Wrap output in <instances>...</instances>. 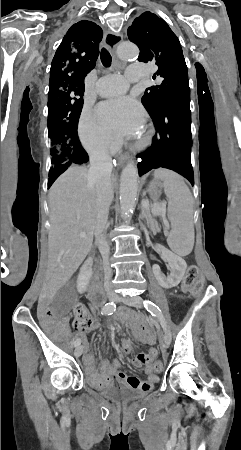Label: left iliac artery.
Here are the masks:
<instances>
[{
    "mask_svg": "<svg viewBox=\"0 0 241 450\" xmlns=\"http://www.w3.org/2000/svg\"><path fill=\"white\" fill-rule=\"evenodd\" d=\"M143 303H144V307L147 309V311H149L153 316L158 317L161 326L163 327L164 330H166L167 323H166V320H165L160 308L155 303H153L149 300H145Z\"/></svg>",
    "mask_w": 241,
    "mask_h": 450,
    "instance_id": "obj_1",
    "label": "left iliac artery"
}]
</instances>
